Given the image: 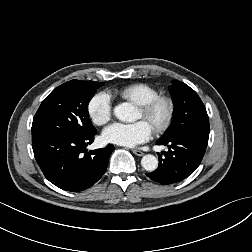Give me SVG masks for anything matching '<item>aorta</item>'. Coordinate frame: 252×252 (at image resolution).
Instances as JSON below:
<instances>
[{
    "instance_id": "aorta-1",
    "label": "aorta",
    "mask_w": 252,
    "mask_h": 252,
    "mask_svg": "<svg viewBox=\"0 0 252 252\" xmlns=\"http://www.w3.org/2000/svg\"><path fill=\"white\" fill-rule=\"evenodd\" d=\"M114 115L123 122H132L137 119L134 106L127 102L117 105L114 108ZM141 165L146 171L152 172L157 169L158 160L154 155L148 154L142 157Z\"/></svg>"
}]
</instances>
